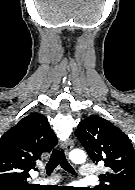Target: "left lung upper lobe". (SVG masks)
Instances as JSON below:
<instances>
[{"label": "left lung upper lobe", "instance_id": "5c2ea615", "mask_svg": "<svg viewBox=\"0 0 135 190\" xmlns=\"http://www.w3.org/2000/svg\"><path fill=\"white\" fill-rule=\"evenodd\" d=\"M75 135L93 162L104 161L108 167L94 190H135V150L124 132L102 117L91 116L79 123Z\"/></svg>", "mask_w": 135, "mask_h": 190}]
</instances>
